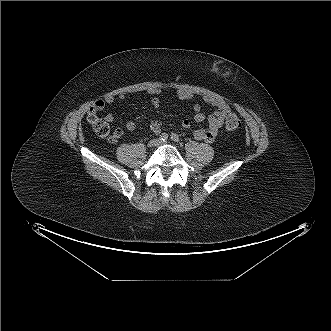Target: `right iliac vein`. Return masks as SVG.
Masks as SVG:
<instances>
[{
  "label": "right iliac vein",
  "instance_id": "1",
  "mask_svg": "<svg viewBox=\"0 0 331 331\" xmlns=\"http://www.w3.org/2000/svg\"><path fill=\"white\" fill-rule=\"evenodd\" d=\"M159 144V141L158 140H156V139H153V140H151V141H149L148 142V147H155V146H157Z\"/></svg>",
  "mask_w": 331,
  "mask_h": 331
}]
</instances>
